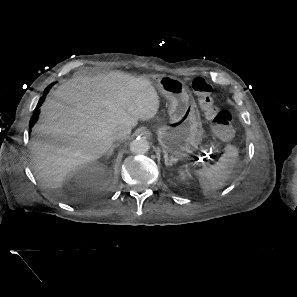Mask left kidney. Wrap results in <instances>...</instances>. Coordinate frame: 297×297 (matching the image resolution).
<instances>
[{"label":"left kidney","instance_id":"1","mask_svg":"<svg viewBox=\"0 0 297 297\" xmlns=\"http://www.w3.org/2000/svg\"><path fill=\"white\" fill-rule=\"evenodd\" d=\"M188 175H189V174L186 173V172L183 171V170H181V171L179 172V176H180V178H181L182 180H185L186 177H187Z\"/></svg>","mask_w":297,"mask_h":297}]
</instances>
